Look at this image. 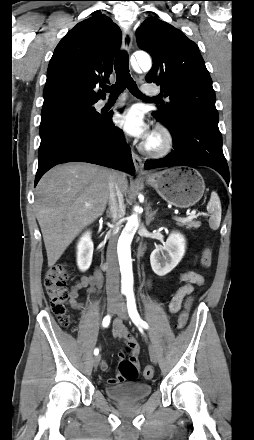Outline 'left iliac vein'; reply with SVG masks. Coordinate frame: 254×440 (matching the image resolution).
Here are the masks:
<instances>
[{
	"label": "left iliac vein",
	"mask_w": 254,
	"mask_h": 440,
	"mask_svg": "<svg viewBox=\"0 0 254 440\" xmlns=\"http://www.w3.org/2000/svg\"><path fill=\"white\" fill-rule=\"evenodd\" d=\"M115 312L119 316V318H121L123 320H128V314H127L126 308L122 302L117 306ZM149 353H150L151 360L154 363H157L158 358H159V354H158L157 348L153 344L149 345Z\"/></svg>",
	"instance_id": "obj_1"
}]
</instances>
